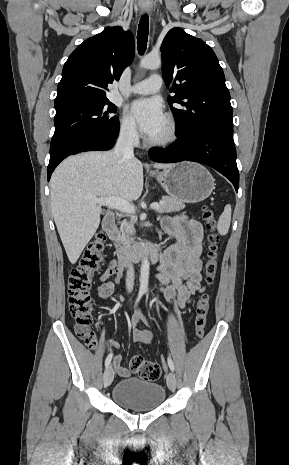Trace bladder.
I'll list each match as a JSON object with an SVG mask.
<instances>
[{
  "mask_svg": "<svg viewBox=\"0 0 289 465\" xmlns=\"http://www.w3.org/2000/svg\"><path fill=\"white\" fill-rule=\"evenodd\" d=\"M166 392L162 385L136 377L118 381L112 398L119 406L131 410H153L165 400Z\"/></svg>",
  "mask_w": 289,
  "mask_h": 465,
  "instance_id": "1",
  "label": "bladder"
}]
</instances>
